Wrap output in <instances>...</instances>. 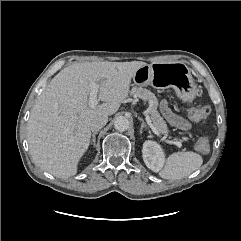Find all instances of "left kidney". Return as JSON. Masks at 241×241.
Masks as SVG:
<instances>
[{"instance_id":"5707ae66","label":"left kidney","mask_w":241,"mask_h":241,"mask_svg":"<svg viewBox=\"0 0 241 241\" xmlns=\"http://www.w3.org/2000/svg\"><path fill=\"white\" fill-rule=\"evenodd\" d=\"M143 160L153 172H158L164 165V153L159 144L154 141H145L143 144Z\"/></svg>"}]
</instances>
